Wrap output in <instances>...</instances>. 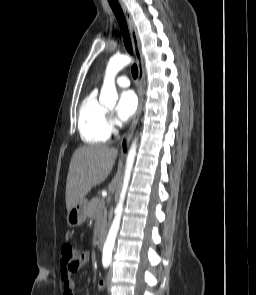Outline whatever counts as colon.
<instances>
[{"instance_id":"obj_1","label":"colon","mask_w":256,"mask_h":295,"mask_svg":"<svg viewBox=\"0 0 256 295\" xmlns=\"http://www.w3.org/2000/svg\"><path fill=\"white\" fill-rule=\"evenodd\" d=\"M79 261L78 251L71 243H64L61 246L60 264L64 269L73 270L77 267Z\"/></svg>"}]
</instances>
